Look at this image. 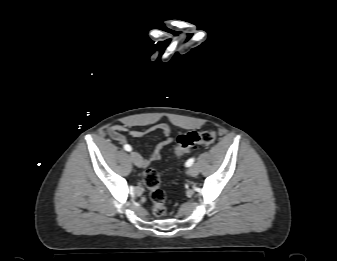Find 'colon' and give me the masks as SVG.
I'll return each instance as SVG.
<instances>
[{
    "instance_id": "5ec220e1",
    "label": "colon",
    "mask_w": 337,
    "mask_h": 261,
    "mask_svg": "<svg viewBox=\"0 0 337 261\" xmlns=\"http://www.w3.org/2000/svg\"><path fill=\"white\" fill-rule=\"evenodd\" d=\"M216 133L213 130L208 131H191L180 135L177 138L174 153L177 157L189 152L192 148L198 145H208L215 141ZM143 182L149 190L150 199L153 204V214L156 217H162L166 213V195L161 188L160 177L156 170L148 169L143 175Z\"/></svg>"
}]
</instances>
